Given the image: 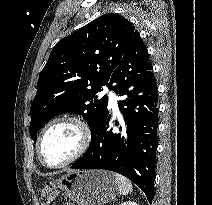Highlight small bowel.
Masks as SVG:
<instances>
[{
  "label": "small bowel",
  "mask_w": 212,
  "mask_h": 205,
  "mask_svg": "<svg viewBox=\"0 0 212 205\" xmlns=\"http://www.w3.org/2000/svg\"><path fill=\"white\" fill-rule=\"evenodd\" d=\"M64 205H74V204H71V203H66V204H64Z\"/></svg>",
  "instance_id": "small-bowel-1"
}]
</instances>
